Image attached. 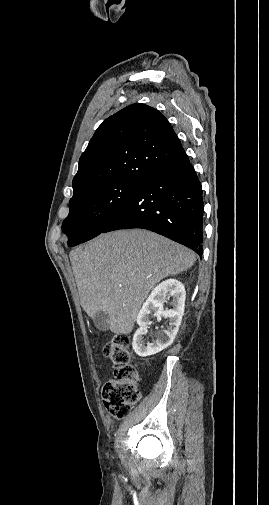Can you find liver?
I'll list each match as a JSON object with an SVG mask.
<instances>
[{
  "mask_svg": "<svg viewBox=\"0 0 269 505\" xmlns=\"http://www.w3.org/2000/svg\"><path fill=\"white\" fill-rule=\"evenodd\" d=\"M69 257L82 308L92 319L106 312L115 334H129L154 286L196 260L187 247L142 229L101 234Z\"/></svg>",
  "mask_w": 269,
  "mask_h": 505,
  "instance_id": "1",
  "label": "liver"
}]
</instances>
